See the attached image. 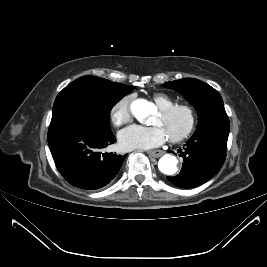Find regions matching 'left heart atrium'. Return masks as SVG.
<instances>
[{
  "label": "left heart atrium",
  "instance_id": "1",
  "mask_svg": "<svg viewBox=\"0 0 267 267\" xmlns=\"http://www.w3.org/2000/svg\"><path fill=\"white\" fill-rule=\"evenodd\" d=\"M119 143L126 150L151 149L165 142L167 135L160 126L132 125L119 133Z\"/></svg>",
  "mask_w": 267,
  "mask_h": 267
}]
</instances>
